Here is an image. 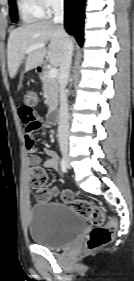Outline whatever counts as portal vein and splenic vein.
I'll return each instance as SVG.
<instances>
[{
  "instance_id": "portal-vein-and-splenic-vein-1",
  "label": "portal vein and splenic vein",
  "mask_w": 134,
  "mask_h": 281,
  "mask_svg": "<svg viewBox=\"0 0 134 281\" xmlns=\"http://www.w3.org/2000/svg\"><path fill=\"white\" fill-rule=\"evenodd\" d=\"M45 47V44H36V45H33L31 47H29L27 50H26V53H30L36 49H40V48H44ZM58 74V70L55 68V67H52L49 69L48 71V75L51 77V78H55Z\"/></svg>"
}]
</instances>
